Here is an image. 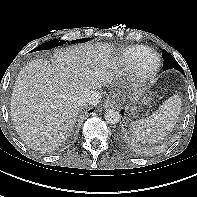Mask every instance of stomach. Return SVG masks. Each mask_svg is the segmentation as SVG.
<instances>
[{"mask_svg": "<svg viewBox=\"0 0 197 197\" xmlns=\"http://www.w3.org/2000/svg\"><path fill=\"white\" fill-rule=\"evenodd\" d=\"M149 103H150L149 97L134 98L132 100V106L129 107L131 114L136 115L143 106L148 105Z\"/></svg>", "mask_w": 197, "mask_h": 197, "instance_id": "1", "label": "stomach"}]
</instances>
